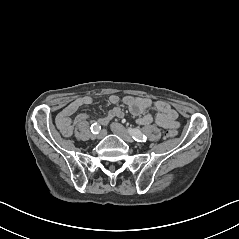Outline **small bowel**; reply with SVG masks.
I'll return each mask as SVG.
<instances>
[{
	"label": "small bowel",
	"instance_id": "obj_1",
	"mask_svg": "<svg viewBox=\"0 0 239 239\" xmlns=\"http://www.w3.org/2000/svg\"><path fill=\"white\" fill-rule=\"evenodd\" d=\"M119 101L120 98L117 95H111L109 97V102L113 107L104 117L98 119V124L107 125L115 117L122 118L124 116L123 111L118 107ZM93 102L94 98L91 96L80 97L69 103L59 112L56 123L64 136L69 137L72 135L75 123L88 119V115L84 113L77 115L73 120L71 116L79 107L92 104ZM122 102L128 107L130 113L136 116V121L140 125L156 123L160 127L167 129H176L179 125L178 113L165 101H152L149 98L128 95L122 98ZM151 107L155 108L157 112L155 114H145L144 112Z\"/></svg>",
	"mask_w": 239,
	"mask_h": 239
}]
</instances>
